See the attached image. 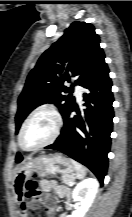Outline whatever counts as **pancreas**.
<instances>
[{
	"label": "pancreas",
	"instance_id": "1",
	"mask_svg": "<svg viewBox=\"0 0 132 217\" xmlns=\"http://www.w3.org/2000/svg\"><path fill=\"white\" fill-rule=\"evenodd\" d=\"M61 180L64 184L70 185L71 182L75 181L74 175H62Z\"/></svg>",
	"mask_w": 132,
	"mask_h": 217
}]
</instances>
